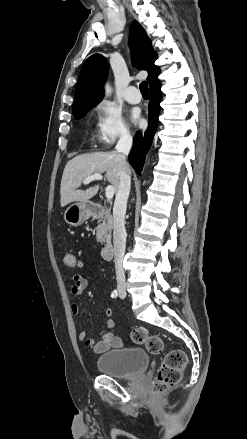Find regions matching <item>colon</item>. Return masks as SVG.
Here are the masks:
<instances>
[{"label": "colon", "mask_w": 247, "mask_h": 439, "mask_svg": "<svg viewBox=\"0 0 247 439\" xmlns=\"http://www.w3.org/2000/svg\"><path fill=\"white\" fill-rule=\"evenodd\" d=\"M64 264L69 268L78 266L75 255L67 253L63 258ZM134 343L142 344L151 354H160L164 349L163 340L155 335H151L144 329H135L131 333ZM187 365V356L181 349H171L164 356L159 367L156 379L152 385V392L160 394L175 386L182 377V373Z\"/></svg>", "instance_id": "1"}]
</instances>
